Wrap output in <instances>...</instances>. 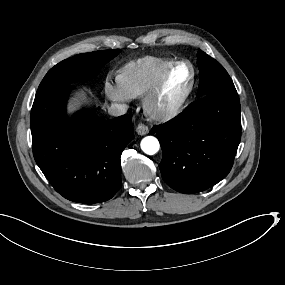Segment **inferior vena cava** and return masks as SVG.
<instances>
[{
	"label": "inferior vena cava",
	"instance_id": "inferior-vena-cava-1",
	"mask_svg": "<svg viewBox=\"0 0 285 285\" xmlns=\"http://www.w3.org/2000/svg\"><path fill=\"white\" fill-rule=\"evenodd\" d=\"M127 104L121 103H112L111 106L108 108V113L111 116H121L124 115L128 110Z\"/></svg>",
	"mask_w": 285,
	"mask_h": 285
}]
</instances>
